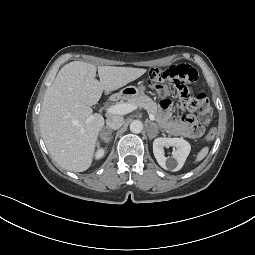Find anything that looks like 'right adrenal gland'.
I'll return each mask as SVG.
<instances>
[{
    "label": "right adrenal gland",
    "instance_id": "obj_1",
    "mask_svg": "<svg viewBox=\"0 0 255 255\" xmlns=\"http://www.w3.org/2000/svg\"><path fill=\"white\" fill-rule=\"evenodd\" d=\"M106 129H108L110 132H112V130H111V129H109L108 127H106Z\"/></svg>",
    "mask_w": 255,
    "mask_h": 255
}]
</instances>
